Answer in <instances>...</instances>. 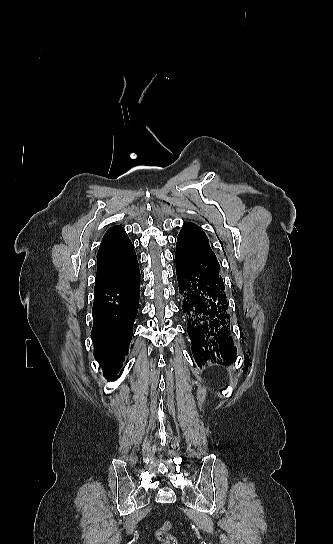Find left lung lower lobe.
Returning a JSON list of instances; mask_svg holds the SVG:
<instances>
[{
	"instance_id": "0a47b994",
	"label": "left lung lower lobe",
	"mask_w": 333,
	"mask_h": 544,
	"mask_svg": "<svg viewBox=\"0 0 333 544\" xmlns=\"http://www.w3.org/2000/svg\"><path fill=\"white\" fill-rule=\"evenodd\" d=\"M176 273L192 352L199 367L207 361H236L230 314L220 269L176 248Z\"/></svg>"
}]
</instances>
